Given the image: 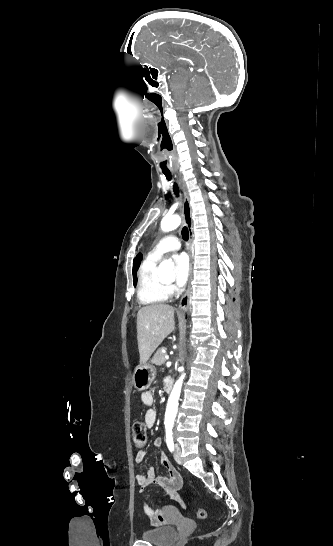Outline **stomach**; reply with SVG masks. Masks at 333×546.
<instances>
[{
	"mask_svg": "<svg viewBox=\"0 0 333 546\" xmlns=\"http://www.w3.org/2000/svg\"><path fill=\"white\" fill-rule=\"evenodd\" d=\"M156 376V368L152 364H139L133 373V384L137 390H147Z\"/></svg>",
	"mask_w": 333,
	"mask_h": 546,
	"instance_id": "1",
	"label": "stomach"
}]
</instances>
